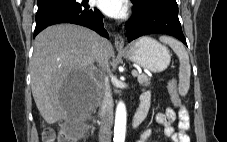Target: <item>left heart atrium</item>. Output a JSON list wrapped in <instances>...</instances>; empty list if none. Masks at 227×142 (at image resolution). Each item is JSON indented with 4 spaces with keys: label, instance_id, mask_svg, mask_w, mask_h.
Returning a JSON list of instances; mask_svg holds the SVG:
<instances>
[{
    "label": "left heart atrium",
    "instance_id": "left-heart-atrium-1",
    "mask_svg": "<svg viewBox=\"0 0 227 142\" xmlns=\"http://www.w3.org/2000/svg\"><path fill=\"white\" fill-rule=\"evenodd\" d=\"M95 5L106 15L122 17L126 9V0H94Z\"/></svg>",
    "mask_w": 227,
    "mask_h": 142
}]
</instances>
